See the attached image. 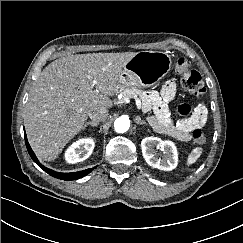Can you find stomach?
<instances>
[{"label": "stomach", "instance_id": "stomach-1", "mask_svg": "<svg viewBox=\"0 0 243 243\" xmlns=\"http://www.w3.org/2000/svg\"><path fill=\"white\" fill-rule=\"evenodd\" d=\"M170 68L171 57L166 52H137L127 61L119 76L121 87L153 86L169 72Z\"/></svg>", "mask_w": 243, "mask_h": 243}]
</instances>
